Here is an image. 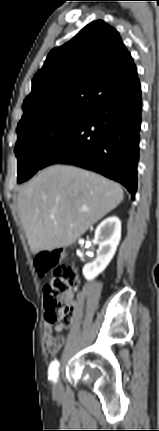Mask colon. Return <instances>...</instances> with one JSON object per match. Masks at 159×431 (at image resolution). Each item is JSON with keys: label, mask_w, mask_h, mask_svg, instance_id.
Instances as JSON below:
<instances>
[{"label": "colon", "mask_w": 159, "mask_h": 431, "mask_svg": "<svg viewBox=\"0 0 159 431\" xmlns=\"http://www.w3.org/2000/svg\"><path fill=\"white\" fill-rule=\"evenodd\" d=\"M35 267L40 275L52 271L44 287L47 320H60L63 325H68L73 315L69 294L78 284L76 269L67 262L66 254L60 250L39 253L35 258Z\"/></svg>", "instance_id": "obj_1"}]
</instances>
